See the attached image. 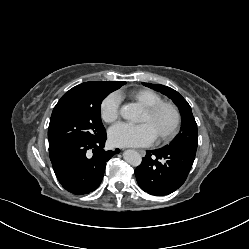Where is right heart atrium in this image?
I'll list each match as a JSON object with an SVG mask.
<instances>
[{
    "label": "right heart atrium",
    "mask_w": 249,
    "mask_h": 249,
    "mask_svg": "<svg viewBox=\"0 0 249 249\" xmlns=\"http://www.w3.org/2000/svg\"><path fill=\"white\" fill-rule=\"evenodd\" d=\"M101 118L106 123H114L120 115V97L112 93L108 95L100 106Z\"/></svg>",
    "instance_id": "1"
}]
</instances>
